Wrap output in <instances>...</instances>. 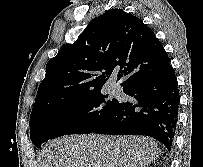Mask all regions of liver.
<instances>
[{"label":"liver","mask_w":203,"mask_h":167,"mask_svg":"<svg viewBox=\"0 0 203 167\" xmlns=\"http://www.w3.org/2000/svg\"><path fill=\"white\" fill-rule=\"evenodd\" d=\"M159 148L141 136L73 135L49 142L38 167H147Z\"/></svg>","instance_id":"1"}]
</instances>
